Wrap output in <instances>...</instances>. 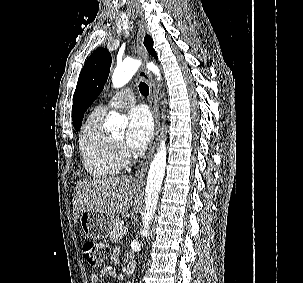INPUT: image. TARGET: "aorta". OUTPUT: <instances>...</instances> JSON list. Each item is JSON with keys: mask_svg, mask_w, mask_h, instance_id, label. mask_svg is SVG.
<instances>
[{"mask_svg": "<svg viewBox=\"0 0 303 283\" xmlns=\"http://www.w3.org/2000/svg\"><path fill=\"white\" fill-rule=\"evenodd\" d=\"M141 62L136 59H126L121 64L117 65L112 74V84L114 88H121L126 85L133 75L138 70ZM160 79V71L153 63L147 65ZM127 125V119L120 114L112 111L108 114L105 121V127L111 132H119L124 130ZM167 160L166 139L160 142L157 153L155 154L147 176L145 188V208L142 214V229L141 235L149 234V227L154 218L159 198V192L162 187L163 178L165 175Z\"/></svg>", "mask_w": 303, "mask_h": 283, "instance_id": "obj_1", "label": "aorta"}]
</instances>
